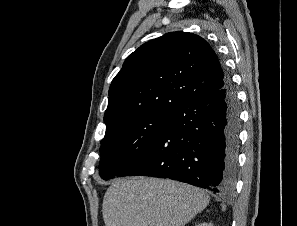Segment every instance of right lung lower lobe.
Instances as JSON below:
<instances>
[{
    "label": "right lung lower lobe",
    "instance_id": "98d812e1",
    "mask_svg": "<svg viewBox=\"0 0 297 226\" xmlns=\"http://www.w3.org/2000/svg\"><path fill=\"white\" fill-rule=\"evenodd\" d=\"M240 110L230 77L224 86L180 104L170 123L116 176H153L213 192L231 191L237 174Z\"/></svg>",
    "mask_w": 297,
    "mask_h": 226
}]
</instances>
